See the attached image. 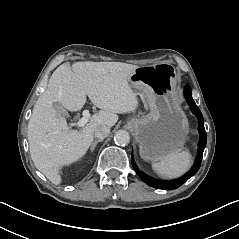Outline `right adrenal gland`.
Returning a JSON list of instances; mask_svg holds the SVG:
<instances>
[{"mask_svg":"<svg viewBox=\"0 0 239 239\" xmlns=\"http://www.w3.org/2000/svg\"><path fill=\"white\" fill-rule=\"evenodd\" d=\"M103 139H97L95 140L93 143H92V146L90 147V150L93 152V150L95 149L96 145L99 143V142H102Z\"/></svg>","mask_w":239,"mask_h":239,"instance_id":"1","label":"right adrenal gland"}]
</instances>
